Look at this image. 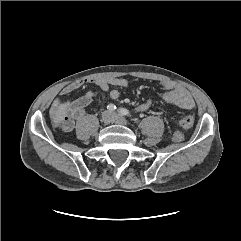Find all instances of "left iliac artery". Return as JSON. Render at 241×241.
Here are the masks:
<instances>
[{"label": "left iliac artery", "mask_w": 241, "mask_h": 241, "mask_svg": "<svg viewBox=\"0 0 241 241\" xmlns=\"http://www.w3.org/2000/svg\"><path fill=\"white\" fill-rule=\"evenodd\" d=\"M118 112H119L121 115L131 116V115H130V112H129L127 109H125V108H120V109L118 110Z\"/></svg>", "instance_id": "obj_1"}]
</instances>
